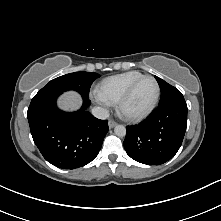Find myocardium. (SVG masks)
<instances>
[{"instance_id":"1","label":"myocardium","mask_w":221,"mask_h":221,"mask_svg":"<svg viewBox=\"0 0 221 221\" xmlns=\"http://www.w3.org/2000/svg\"><path fill=\"white\" fill-rule=\"evenodd\" d=\"M145 79H151L155 83L156 93H155L154 99L145 110L138 112V113H131L126 108L127 103L132 97L136 87ZM159 97H160V86H159L158 81L153 76L143 75L142 77L135 80L129 86V88L126 90L123 96L120 98V100L118 101V111L121 114V116L124 117L126 120L133 121V122L140 121L152 113V111L155 109L159 101Z\"/></svg>"}]
</instances>
